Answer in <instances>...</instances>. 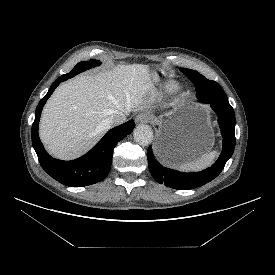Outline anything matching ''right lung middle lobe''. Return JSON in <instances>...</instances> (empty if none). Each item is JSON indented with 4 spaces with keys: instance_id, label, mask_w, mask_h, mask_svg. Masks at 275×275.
<instances>
[{
    "instance_id": "obj_1",
    "label": "right lung middle lobe",
    "mask_w": 275,
    "mask_h": 275,
    "mask_svg": "<svg viewBox=\"0 0 275 275\" xmlns=\"http://www.w3.org/2000/svg\"><path fill=\"white\" fill-rule=\"evenodd\" d=\"M99 64H100V62L97 61V60H94V59L89 60V61L80 62V63H78V64L70 71V73L65 74V75H63V76L67 77V76H70V75H71V77H73V76H75L76 74H78V73H80V72H82V71H84V70L90 69V68H92V67H94V66H97V65H99Z\"/></svg>"
}]
</instances>
